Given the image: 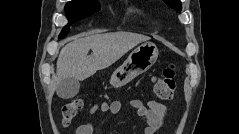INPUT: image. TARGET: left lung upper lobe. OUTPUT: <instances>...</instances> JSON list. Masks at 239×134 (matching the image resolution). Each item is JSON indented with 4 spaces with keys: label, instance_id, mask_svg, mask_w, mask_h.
Segmentation results:
<instances>
[{
    "label": "left lung upper lobe",
    "instance_id": "left-lung-upper-lobe-1",
    "mask_svg": "<svg viewBox=\"0 0 239 134\" xmlns=\"http://www.w3.org/2000/svg\"><path fill=\"white\" fill-rule=\"evenodd\" d=\"M164 2L171 8L175 9L177 12L182 9L180 0H164Z\"/></svg>",
    "mask_w": 239,
    "mask_h": 134
}]
</instances>
